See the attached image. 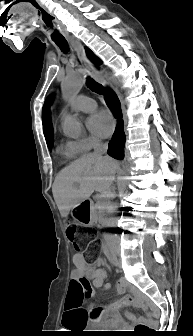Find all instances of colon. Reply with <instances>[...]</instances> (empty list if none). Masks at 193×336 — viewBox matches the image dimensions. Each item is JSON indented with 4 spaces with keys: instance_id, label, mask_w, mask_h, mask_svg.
Masks as SVG:
<instances>
[{
    "instance_id": "obj_1",
    "label": "colon",
    "mask_w": 193,
    "mask_h": 336,
    "mask_svg": "<svg viewBox=\"0 0 193 336\" xmlns=\"http://www.w3.org/2000/svg\"><path fill=\"white\" fill-rule=\"evenodd\" d=\"M66 236L74 245L75 249L82 255H94L99 247V242L92 238H87L75 223H67ZM91 286L88 284L85 287L83 296L90 297ZM99 311V309H96ZM151 333V328L146 325L139 324L135 327L134 336H148Z\"/></svg>"
}]
</instances>
